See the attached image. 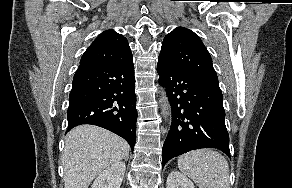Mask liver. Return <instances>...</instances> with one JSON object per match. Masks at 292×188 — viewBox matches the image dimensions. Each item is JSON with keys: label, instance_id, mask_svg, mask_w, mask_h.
<instances>
[{"label": "liver", "instance_id": "1", "mask_svg": "<svg viewBox=\"0 0 292 188\" xmlns=\"http://www.w3.org/2000/svg\"><path fill=\"white\" fill-rule=\"evenodd\" d=\"M130 146L121 137L93 125H80L65 138L62 155L65 188H88L105 168L125 159Z\"/></svg>", "mask_w": 292, "mask_h": 188}]
</instances>
